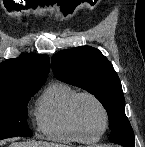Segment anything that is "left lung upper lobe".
<instances>
[{
    "mask_svg": "<svg viewBox=\"0 0 145 147\" xmlns=\"http://www.w3.org/2000/svg\"><path fill=\"white\" fill-rule=\"evenodd\" d=\"M55 77L93 94L109 117V141L134 147V134L125 115V99L121 82L112 64L102 53L90 46L61 50L52 57Z\"/></svg>",
    "mask_w": 145,
    "mask_h": 147,
    "instance_id": "obj_1",
    "label": "left lung upper lobe"
}]
</instances>
